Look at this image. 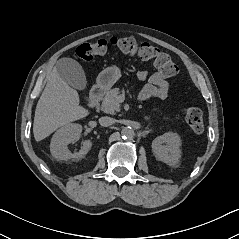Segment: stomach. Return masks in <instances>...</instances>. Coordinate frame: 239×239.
Returning a JSON list of instances; mask_svg holds the SVG:
<instances>
[{
  "label": "stomach",
  "mask_w": 239,
  "mask_h": 239,
  "mask_svg": "<svg viewBox=\"0 0 239 239\" xmlns=\"http://www.w3.org/2000/svg\"><path fill=\"white\" fill-rule=\"evenodd\" d=\"M120 77V70L117 67H108L99 74L97 84L103 89H109Z\"/></svg>",
  "instance_id": "stomach-1"
}]
</instances>
